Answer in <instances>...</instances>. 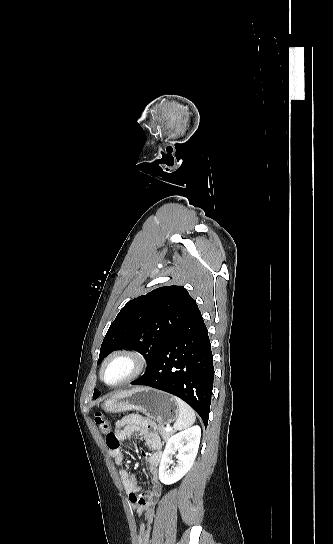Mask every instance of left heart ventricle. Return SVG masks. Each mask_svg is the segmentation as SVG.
<instances>
[{
  "label": "left heart ventricle",
  "instance_id": "left-heart-ventricle-1",
  "mask_svg": "<svg viewBox=\"0 0 333 544\" xmlns=\"http://www.w3.org/2000/svg\"><path fill=\"white\" fill-rule=\"evenodd\" d=\"M133 364L127 358H117L111 361L104 370V379L107 383H117L125 378L132 370Z\"/></svg>",
  "mask_w": 333,
  "mask_h": 544
}]
</instances>
